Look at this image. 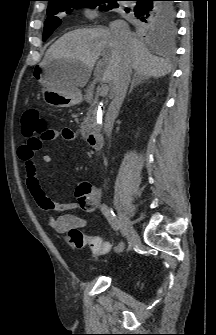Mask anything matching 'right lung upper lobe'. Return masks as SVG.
I'll return each instance as SVG.
<instances>
[{
    "label": "right lung upper lobe",
    "instance_id": "cb5924a9",
    "mask_svg": "<svg viewBox=\"0 0 216 335\" xmlns=\"http://www.w3.org/2000/svg\"><path fill=\"white\" fill-rule=\"evenodd\" d=\"M49 1V4L53 3V2H57V1H63V0H46Z\"/></svg>",
    "mask_w": 216,
    "mask_h": 335
}]
</instances>
